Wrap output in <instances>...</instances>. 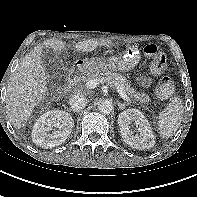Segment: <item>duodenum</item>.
I'll list each match as a JSON object with an SVG mask.
<instances>
[{
	"mask_svg": "<svg viewBox=\"0 0 197 197\" xmlns=\"http://www.w3.org/2000/svg\"><path fill=\"white\" fill-rule=\"evenodd\" d=\"M83 71H84L83 66H79V65L75 66L73 68V70L70 72V75H69L70 84L78 83V81L80 80V76L83 73Z\"/></svg>",
	"mask_w": 197,
	"mask_h": 197,
	"instance_id": "obj_1",
	"label": "duodenum"
}]
</instances>
